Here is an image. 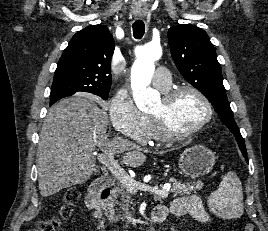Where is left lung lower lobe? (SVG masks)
<instances>
[{"instance_id":"obj_1","label":"left lung lower lobe","mask_w":268,"mask_h":231,"mask_svg":"<svg viewBox=\"0 0 268 231\" xmlns=\"http://www.w3.org/2000/svg\"><path fill=\"white\" fill-rule=\"evenodd\" d=\"M241 152H242L243 156L245 157L246 161L248 162V159H247V156H246V151L243 150Z\"/></svg>"}]
</instances>
